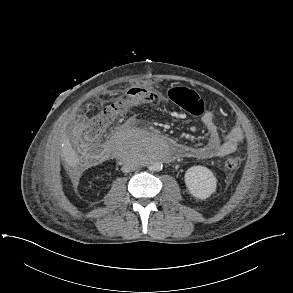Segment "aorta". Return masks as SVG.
<instances>
[{
    "mask_svg": "<svg viewBox=\"0 0 293 293\" xmlns=\"http://www.w3.org/2000/svg\"><path fill=\"white\" fill-rule=\"evenodd\" d=\"M152 153L157 155H163L165 150L169 147V141L162 137H155L152 139ZM150 171H160L162 164L160 162H153L149 165Z\"/></svg>",
    "mask_w": 293,
    "mask_h": 293,
    "instance_id": "1",
    "label": "aorta"
}]
</instances>
